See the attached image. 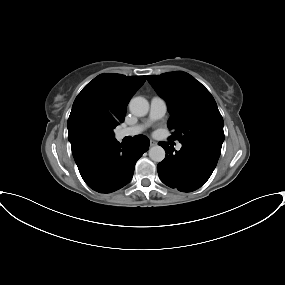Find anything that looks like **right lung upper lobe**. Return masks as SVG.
Masks as SVG:
<instances>
[{
    "instance_id": "1",
    "label": "right lung upper lobe",
    "mask_w": 285,
    "mask_h": 285,
    "mask_svg": "<svg viewBox=\"0 0 285 285\" xmlns=\"http://www.w3.org/2000/svg\"><path fill=\"white\" fill-rule=\"evenodd\" d=\"M146 76L101 74L76 97L67 122L72 153L89 145L86 130L90 124H116L124 121L126 107Z\"/></svg>"
}]
</instances>
